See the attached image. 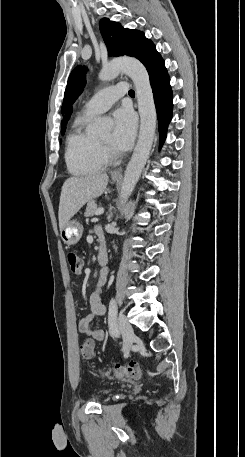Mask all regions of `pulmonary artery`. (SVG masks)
I'll use <instances>...</instances> for the list:
<instances>
[{
    "mask_svg": "<svg viewBox=\"0 0 245 457\" xmlns=\"http://www.w3.org/2000/svg\"><path fill=\"white\" fill-rule=\"evenodd\" d=\"M129 80H118L117 86H103L102 93H95L94 97L88 100L82 108L84 116L93 117L105 112L123 95L130 93Z\"/></svg>",
    "mask_w": 245,
    "mask_h": 457,
    "instance_id": "pulmonary-artery-1",
    "label": "pulmonary artery"
}]
</instances>
